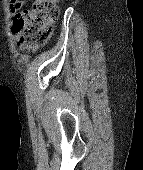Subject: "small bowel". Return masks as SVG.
<instances>
[{
	"instance_id": "small-bowel-1",
	"label": "small bowel",
	"mask_w": 143,
	"mask_h": 170,
	"mask_svg": "<svg viewBox=\"0 0 143 170\" xmlns=\"http://www.w3.org/2000/svg\"><path fill=\"white\" fill-rule=\"evenodd\" d=\"M11 2H12L11 3L12 9H18V8L22 7L24 4V2H22L20 0H12Z\"/></svg>"
}]
</instances>
